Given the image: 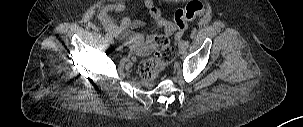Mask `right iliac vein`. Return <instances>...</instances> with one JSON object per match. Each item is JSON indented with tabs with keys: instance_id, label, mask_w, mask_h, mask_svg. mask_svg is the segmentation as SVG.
I'll return each mask as SVG.
<instances>
[{
	"instance_id": "1",
	"label": "right iliac vein",
	"mask_w": 303,
	"mask_h": 127,
	"mask_svg": "<svg viewBox=\"0 0 303 127\" xmlns=\"http://www.w3.org/2000/svg\"><path fill=\"white\" fill-rule=\"evenodd\" d=\"M110 43L112 44V46L115 47V49H116L117 51H122V50H123V47L120 46V45L115 44L114 41H112V42H110Z\"/></svg>"
}]
</instances>
